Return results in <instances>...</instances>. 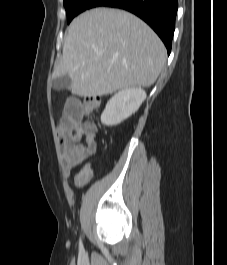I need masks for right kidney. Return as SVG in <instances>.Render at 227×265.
Returning <instances> with one entry per match:
<instances>
[{"instance_id": "right-kidney-1", "label": "right kidney", "mask_w": 227, "mask_h": 265, "mask_svg": "<svg viewBox=\"0 0 227 265\" xmlns=\"http://www.w3.org/2000/svg\"><path fill=\"white\" fill-rule=\"evenodd\" d=\"M146 99V92L141 88H127L116 93L106 104L101 115V122L106 126L121 123L135 113Z\"/></svg>"}]
</instances>
